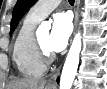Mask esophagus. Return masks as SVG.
<instances>
[{"label": "esophagus", "mask_w": 107, "mask_h": 89, "mask_svg": "<svg viewBox=\"0 0 107 89\" xmlns=\"http://www.w3.org/2000/svg\"><path fill=\"white\" fill-rule=\"evenodd\" d=\"M79 0H75V5H74V26L76 30V25H77V20H78V7H79ZM50 84H53V82H50Z\"/></svg>", "instance_id": "obj_1"}]
</instances>
